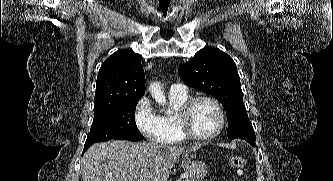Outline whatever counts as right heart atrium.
<instances>
[{
    "label": "right heart atrium",
    "mask_w": 333,
    "mask_h": 181,
    "mask_svg": "<svg viewBox=\"0 0 333 181\" xmlns=\"http://www.w3.org/2000/svg\"><path fill=\"white\" fill-rule=\"evenodd\" d=\"M135 124L143 136L152 140H159L164 132L163 124L158 114L152 108L150 101L142 97L134 107Z\"/></svg>",
    "instance_id": "1"
}]
</instances>
